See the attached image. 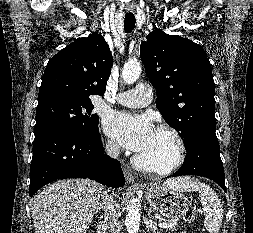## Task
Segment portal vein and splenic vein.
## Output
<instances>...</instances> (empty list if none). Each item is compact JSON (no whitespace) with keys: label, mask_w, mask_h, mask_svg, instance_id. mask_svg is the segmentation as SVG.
Instances as JSON below:
<instances>
[{"label":"portal vein and splenic vein","mask_w":253,"mask_h":233,"mask_svg":"<svg viewBox=\"0 0 253 233\" xmlns=\"http://www.w3.org/2000/svg\"><path fill=\"white\" fill-rule=\"evenodd\" d=\"M175 225H177V221H173V222H171V223H159V224H158V226H159L160 228H170V227H173V226H175Z\"/></svg>","instance_id":"portal-vein-and-splenic-vein-1"}]
</instances>
